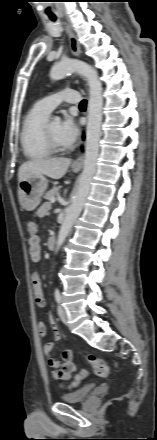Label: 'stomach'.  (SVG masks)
I'll use <instances>...</instances> for the list:
<instances>
[{"label": "stomach", "instance_id": "1", "mask_svg": "<svg viewBox=\"0 0 157 440\" xmlns=\"http://www.w3.org/2000/svg\"><path fill=\"white\" fill-rule=\"evenodd\" d=\"M77 172L78 169H73ZM48 179L44 175H33L18 184V200L21 207L27 211L34 210L41 201L48 187Z\"/></svg>", "mask_w": 157, "mask_h": 440}]
</instances>
